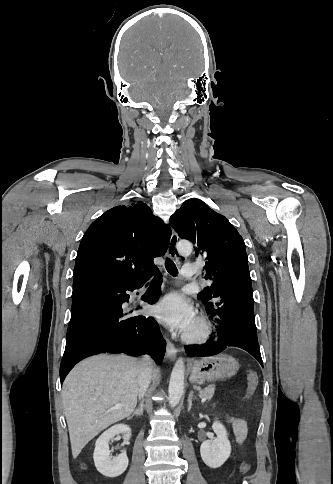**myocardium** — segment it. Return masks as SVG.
Segmentation results:
<instances>
[{
    "mask_svg": "<svg viewBox=\"0 0 333 484\" xmlns=\"http://www.w3.org/2000/svg\"><path fill=\"white\" fill-rule=\"evenodd\" d=\"M195 321L198 324V330L192 333L185 332L182 335V339L188 344H203L212 335V324L209 319L203 315L197 316Z\"/></svg>",
    "mask_w": 333,
    "mask_h": 484,
    "instance_id": "myocardium-1",
    "label": "myocardium"
}]
</instances>
